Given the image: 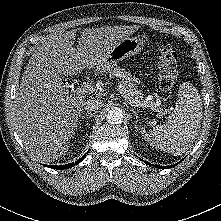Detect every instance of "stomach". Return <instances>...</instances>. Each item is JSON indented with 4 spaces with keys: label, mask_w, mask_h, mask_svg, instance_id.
Segmentation results:
<instances>
[{
    "label": "stomach",
    "mask_w": 221,
    "mask_h": 221,
    "mask_svg": "<svg viewBox=\"0 0 221 221\" xmlns=\"http://www.w3.org/2000/svg\"><path fill=\"white\" fill-rule=\"evenodd\" d=\"M144 47V40L138 37L125 38L120 41L96 67L98 71L109 72L121 60L138 54Z\"/></svg>",
    "instance_id": "obj_1"
}]
</instances>
